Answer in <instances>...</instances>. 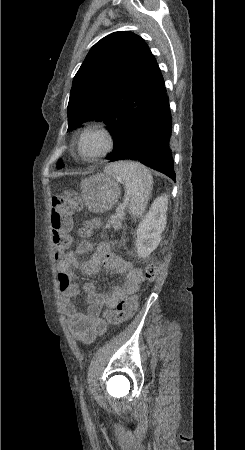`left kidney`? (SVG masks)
I'll return each mask as SVG.
<instances>
[{
	"label": "left kidney",
	"mask_w": 245,
	"mask_h": 450,
	"mask_svg": "<svg viewBox=\"0 0 245 450\" xmlns=\"http://www.w3.org/2000/svg\"><path fill=\"white\" fill-rule=\"evenodd\" d=\"M168 199L160 196L154 200L149 212L140 222L136 231L135 247L139 257H148L159 245L166 226Z\"/></svg>",
	"instance_id": "1"
}]
</instances>
